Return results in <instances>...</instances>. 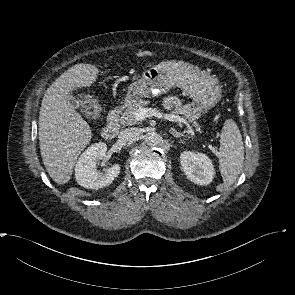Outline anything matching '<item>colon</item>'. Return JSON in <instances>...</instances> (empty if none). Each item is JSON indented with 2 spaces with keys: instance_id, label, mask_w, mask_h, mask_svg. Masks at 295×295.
I'll return each mask as SVG.
<instances>
[{
  "instance_id": "5ec220e1",
  "label": "colon",
  "mask_w": 295,
  "mask_h": 295,
  "mask_svg": "<svg viewBox=\"0 0 295 295\" xmlns=\"http://www.w3.org/2000/svg\"><path fill=\"white\" fill-rule=\"evenodd\" d=\"M88 111L90 113H95L96 112V109L92 105H90L89 108H88Z\"/></svg>"
}]
</instances>
